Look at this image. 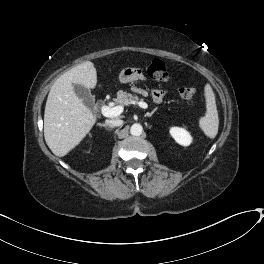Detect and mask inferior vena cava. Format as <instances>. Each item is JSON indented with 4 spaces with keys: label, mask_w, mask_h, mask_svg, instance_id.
Segmentation results:
<instances>
[{
    "label": "inferior vena cava",
    "mask_w": 264,
    "mask_h": 264,
    "mask_svg": "<svg viewBox=\"0 0 264 264\" xmlns=\"http://www.w3.org/2000/svg\"><path fill=\"white\" fill-rule=\"evenodd\" d=\"M106 124L109 127H117V126H121L123 124V121L120 119L106 120Z\"/></svg>",
    "instance_id": "obj_1"
}]
</instances>
